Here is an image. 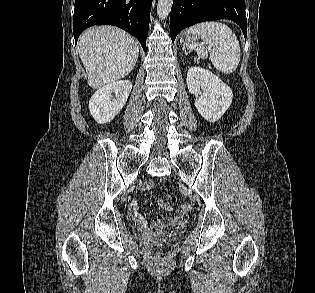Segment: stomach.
Wrapping results in <instances>:
<instances>
[{"mask_svg": "<svg viewBox=\"0 0 315 293\" xmlns=\"http://www.w3.org/2000/svg\"><path fill=\"white\" fill-rule=\"evenodd\" d=\"M198 38L188 36L187 33L183 34L181 37V43L190 49L194 48L198 42Z\"/></svg>", "mask_w": 315, "mask_h": 293, "instance_id": "1", "label": "stomach"}]
</instances>
